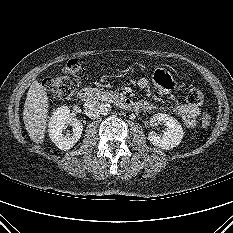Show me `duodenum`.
Here are the masks:
<instances>
[{
    "label": "duodenum",
    "instance_id": "1",
    "mask_svg": "<svg viewBox=\"0 0 233 233\" xmlns=\"http://www.w3.org/2000/svg\"><path fill=\"white\" fill-rule=\"evenodd\" d=\"M79 97L82 101L92 102L99 98H103L104 94L98 89L86 87L80 90ZM112 98L116 103H118L124 109L136 110L139 108L138 103L128 97L121 95H114L112 96Z\"/></svg>",
    "mask_w": 233,
    "mask_h": 233
}]
</instances>
